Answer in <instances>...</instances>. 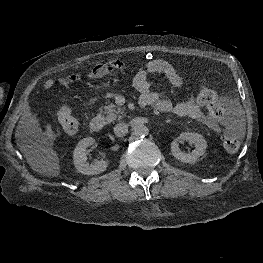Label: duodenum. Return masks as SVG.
I'll return each instance as SVG.
<instances>
[{
  "label": "duodenum",
  "mask_w": 263,
  "mask_h": 263,
  "mask_svg": "<svg viewBox=\"0 0 263 263\" xmlns=\"http://www.w3.org/2000/svg\"><path fill=\"white\" fill-rule=\"evenodd\" d=\"M104 127V120L100 116L94 117L90 122V129L93 132H100Z\"/></svg>",
  "instance_id": "duodenum-1"
}]
</instances>
